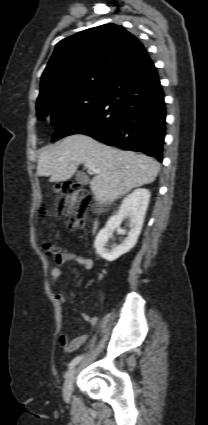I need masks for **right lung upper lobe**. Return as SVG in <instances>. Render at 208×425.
I'll list each match as a JSON object with an SVG mask.
<instances>
[{
    "mask_svg": "<svg viewBox=\"0 0 208 425\" xmlns=\"http://www.w3.org/2000/svg\"><path fill=\"white\" fill-rule=\"evenodd\" d=\"M147 52L123 26L105 24L61 40L42 74L37 102L82 89H104Z\"/></svg>",
    "mask_w": 208,
    "mask_h": 425,
    "instance_id": "right-lung-upper-lobe-1",
    "label": "right lung upper lobe"
}]
</instances>
